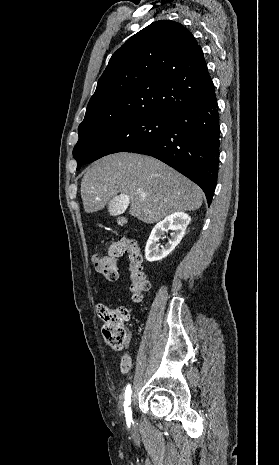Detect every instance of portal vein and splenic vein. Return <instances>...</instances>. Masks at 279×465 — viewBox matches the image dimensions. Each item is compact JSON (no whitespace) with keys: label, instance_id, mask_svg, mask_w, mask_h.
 Segmentation results:
<instances>
[{"label":"portal vein and splenic vein","instance_id":"18ae733b","mask_svg":"<svg viewBox=\"0 0 279 465\" xmlns=\"http://www.w3.org/2000/svg\"><path fill=\"white\" fill-rule=\"evenodd\" d=\"M142 196H143V197H145V195H144V194H143ZM123 197H126V199L128 200V198H127V196H126V195H124Z\"/></svg>","mask_w":279,"mask_h":465}]
</instances>
